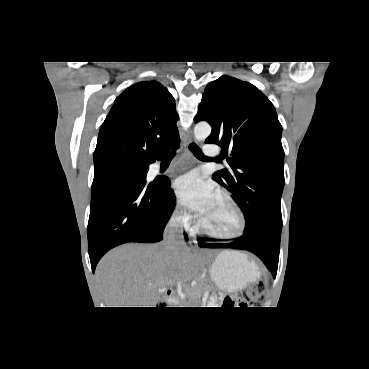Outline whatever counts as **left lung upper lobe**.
I'll use <instances>...</instances> for the list:
<instances>
[{"mask_svg":"<svg viewBox=\"0 0 369 369\" xmlns=\"http://www.w3.org/2000/svg\"><path fill=\"white\" fill-rule=\"evenodd\" d=\"M194 121H207L212 132L205 142L222 147L230 168L213 179L241 207L244 233L267 224L281 227L284 151L273 104L254 85L223 75L205 88Z\"/></svg>","mask_w":369,"mask_h":369,"instance_id":"left-lung-upper-lobe-1","label":"left lung upper lobe"}]
</instances>
